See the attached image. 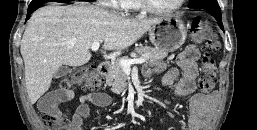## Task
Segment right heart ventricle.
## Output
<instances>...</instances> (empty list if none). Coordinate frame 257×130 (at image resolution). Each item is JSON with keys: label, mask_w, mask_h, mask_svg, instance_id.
I'll return each instance as SVG.
<instances>
[{"label": "right heart ventricle", "mask_w": 257, "mask_h": 130, "mask_svg": "<svg viewBox=\"0 0 257 130\" xmlns=\"http://www.w3.org/2000/svg\"><path fill=\"white\" fill-rule=\"evenodd\" d=\"M121 8L125 11H138L140 9L136 0H122Z\"/></svg>", "instance_id": "right-heart-ventricle-1"}]
</instances>
